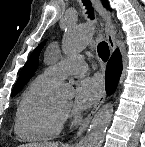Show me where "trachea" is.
Here are the masks:
<instances>
[{
    "instance_id": "obj_1",
    "label": "trachea",
    "mask_w": 145,
    "mask_h": 147,
    "mask_svg": "<svg viewBox=\"0 0 145 147\" xmlns=\"http://www.w3.org/2000/svg\"><path fill=\"white\" fill-rule=\"evenodd\" d=\"M83 4L88 9V11H87V13L89 14L88 17L93 19L94 11H93V8L91 7L92 6L91 2L89 0H83ZM97 52L99 54V57L104 62H106L108 60L109 55H110V51H109L108 44L105 41H102L98 44Z\"/></svg>"
}]
</instances>
